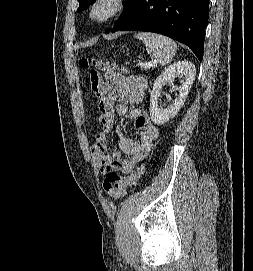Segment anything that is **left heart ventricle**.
Returning <instances> with one entry per match:
<instances>
[{
	"mask_svg": "<svg viewBox=\"0 0 253 271\" xmlns=\"http://www.w3.org/2000/svg\"><path fill=\"white\" fill-rule=\"evenodd\" d=\"M111 8V5L109 2H103L102 4H100L97 9H96V15L98 17H103L105 16L109 10Z\"/></svg>",
	"mask_w": 253,
	"mask_h": 271,
	"instance_id": "obj_1",
	"label": "left heart ventricle"
}]
</instances>
